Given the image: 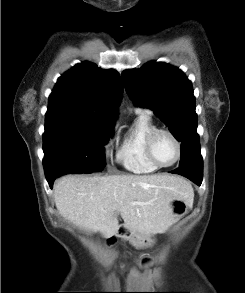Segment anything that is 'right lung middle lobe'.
<instances>
[{
	"label": "right lung middle lobe",
	"instance_id": "dd1d6c3e",
	"mask_svg": "<svg viewBox=\"0 0 245 293\" xmlns=\"http://www.w3.org/2000/svg\"><path fill=\"white\" fill-rule=\"evenodd\" d=\"M113 126L75 119H45L43 166L46 179L70 173L102 171L106 165L103 146Z\"/></svg>",
	"mask_w": 245,
	"mask_h": 293
}]
</instances>
